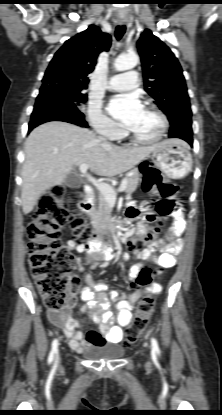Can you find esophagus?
<instances>
[{"mask_svg":"<svg viewBox=\"0 0 222 415\" xmlns=\"http://www.w3.org/2000/svg\"><path fill=\"white\" fill-rule=\"evenodd\" d=\"M126 22H127V20H125V19H120V20H119V23H120V24H125Z\"/></svg>","mask_w":222,"mask_h":415,"instance_id":"34e87169","label":"esophagus"}]
</instances>
